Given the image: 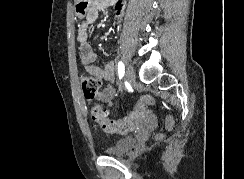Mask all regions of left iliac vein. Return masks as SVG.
Returning <instances> with one entry per match:
<instances>
[{
  "instance_id": "4c4485c4",
  "label": "left iliac vein",
  "mask_w": 244,
  "mask_h": 179,
  "mask_svg": "<svg viewBox=\"0 0 244 179\" xmlns=\"http://www.w3.org/2000/svg\"><path fill=\"white\" fill-rule=\"evenodd\" d=\"M125 75H126L128 83H130V84H132L136 79L135 70L131 65H129L127 67Z\"/></svg>"
}]
</instances>
